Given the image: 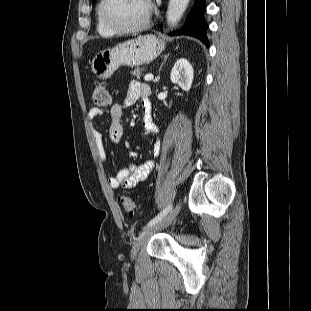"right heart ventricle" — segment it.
<instances>
[{
  "label": "right heart ventricle",
  "instance_id": "e07e8e85",
  "mask_svg": "<svg viewBox=\"0 0 311 311\" xmlns=\"http://www.w3.org/2000/svg\"><path fill=\"white\" fill-rule=\"evenodd\" d=\"M101 1L99 2L97 8H96V31L101 36H112L115 34L111 29H109L101 20V17L99 15V6Z\"/></svg>",
  "mask_w": 311,
  "mask_h": 311
}]
</instances>
